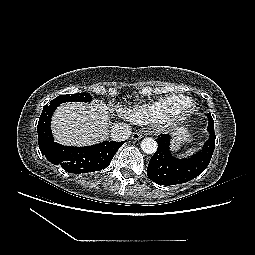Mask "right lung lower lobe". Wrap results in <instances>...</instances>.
<instances>
[{
	"instance_id": "right-lung-lower-lobe-1",
	"label": "right lung lower lobe",
	"mask_w": 255,
	"mask_h": 255,
	"mask_svg": "<svg viewBox=\"0 0 255 255\" xmlns=\"http://www.w3.org/2000/svg\"><path fill=\"white\" fill-rule=\"evenodd\" d=\"M38 125L40 151L53 164L69 173H88L107 167L124 142L105 141L87 147L63 146L54 142L50 122Z\"/></svg>"
}]
</instances>
